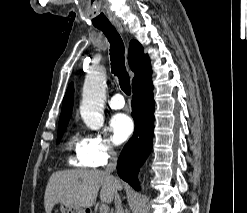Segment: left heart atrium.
I'll return each mask as SVG.
<instances>
[{"label":"left heart atrium","mask_w":247,"mask_h":213,"mask_svg":"<svg viewBox=\"0 0 247 213\" xmlns=\"http://www.w3.org/2000/svg\"><path fill=\"white\" fill-rule=\"evenodd\" d=\"M133 129V121L126 114H116L110 120V130L116 144L125 142L132 134Z\"/></svg>","instance_id":"39dd6f15"}]
</instances>
